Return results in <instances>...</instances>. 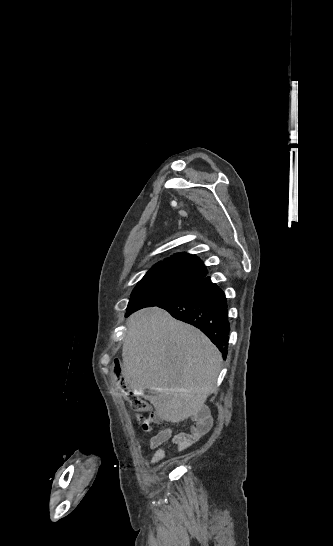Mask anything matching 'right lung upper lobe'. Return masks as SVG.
Here are the masks:
<instances>
[{
    "instance_id": "cb5924a9",
    "label": "right lung upper lobe",
    "mask_w": 333,
    "mask_h": 546,
    "mask_svg": "<svg viewBox=\"0 0 333 546\" xmlns=\"http://www.w3.org/2000/svg\"><path fill=\"white\" fill-rule=\"evenodd\" d=\"M146 275H170L203 281L207 275V270L197 256L188 253H177L164 261L158 262Z\"/></svg>"
}]
</instances>
